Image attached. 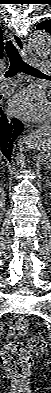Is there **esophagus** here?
<instances>
[{
  "mask_svg": "<svg viewBox=\"0 0 51 393\" xmlns=\"http://www.w3.org/2000/svg\"><path fill=\"white\" fill-rule=\"evenodd\" d=\"M12 40L14 41L19 53L21 54L22 58L25 60H28L29 56H28V52L26 50V46L25 43L23 41L22 36L13 33L12 34ZM48 124H43L42 127H48Z\"/></svg>",
  "mask_w": 51,
  "mask_h": 393,
  "instance_id": "34e87169",
  "label": "esophagus"
}]
</instances>
